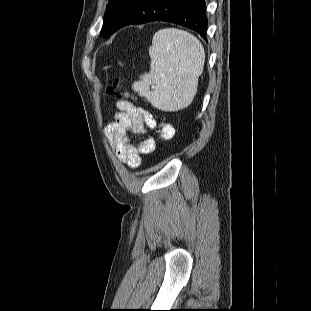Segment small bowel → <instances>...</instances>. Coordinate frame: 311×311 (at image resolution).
<instances>
[{
	"label": "small bowel",
	"instance_id": "obj_1",
	"mask_svg": "<svg viewBox=\"0 0 311 311\" xmlns=\"http://www.w3.org/2000/svg\"><path fill=\"white\" fill-rule=\"evenodd\" d=\"M116 106L118 112L114 121L106 127V136L118 160L131 168H138L141 164V155L153 151L156 139L148 137L143 139L138 146H134L130 135H141L145 134L148 129H155L158 126L157 121L148 111L128 101H118ZM172 134L173 128L165 126L160 138L168 139Z\"/></svg>",
	"mask_w": 311,
	"mask_h": 311
}]
</instances>
